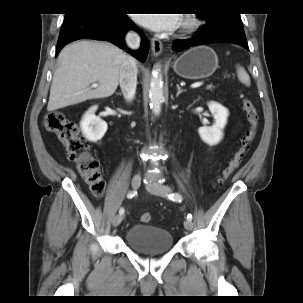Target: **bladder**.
Masks as SVG:
<instances>
[{
    "label": "bladder",
    "instance_id": "1",
    "mask_svg": "<svg viewBox=\"0 0 303 303\" xmlns=\"http://www.w3.org/2000/svg\"><path fill=\"white\" fill-rule=\"evenodd\" d=\"M124 241L130 249L146 256L165 254L173 246V236L169 231L144 224L131 226Z\"/></svg>",
    "mask_w": 303,
    "mask_h": 303
}]
</instances>
